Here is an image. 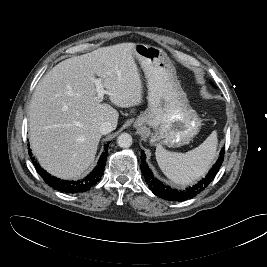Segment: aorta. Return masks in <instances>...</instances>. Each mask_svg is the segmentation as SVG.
Wrapping results in <instances>:
<instances>
[{"instance_id":"aorta-1","label":"aorta","mask_w":267,"mask_h":267,"mask_svg":"<svg viewBox=\"0 0 267 267\" xmlns=\"http://www.w3.org/2000/svg\"><path fill=\"white\" fill-rule=\"evenodd\" d=\"M117 144L121 148H128L132 145V137L128 133H122L118 136Z\"/></svg>"}]
</instances>
